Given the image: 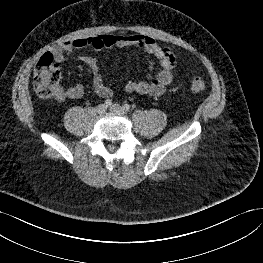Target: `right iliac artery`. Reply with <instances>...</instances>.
Returning <instances> with one entry per match:
<instances>
[{
	"label": "right iliac artery",
	"instance_id": "right-iliac-artery-1",
	"mask_svg": "<svg viewBox=\"0 0 263 263\" xmlns=\"http://www.w3.org/2000/svg\"><path fill=\"white\" fill-rule=\"evenodd\" d=\"M104 105H105L106 107L111 106V105H112V100L106 99V100L104 101Z\"/></svg>",
	"mask_w": 263,
	"mask_h": 263
}]
</instances>
